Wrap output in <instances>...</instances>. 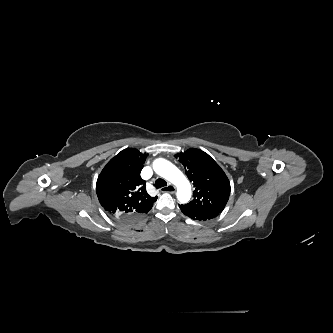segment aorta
<instances>
[{
  "instance_id": "obj_1",
  "label": "aorta",
  "mask_w": 333,
  "mask_h": 333,
  "mask_svg": "<svg viewBox=\"0 0 333 333\" xmlns=\"http://www.w3.org/2000/svg\"><path fill=\"white\" fill-rule=\"evenodd\" d=\"M154 171L177 187V199L184 204L190 200L191 185L186 176L171 162L159 158L153 162Z\"/></svg>"
}]
</instances>
